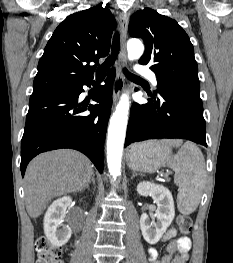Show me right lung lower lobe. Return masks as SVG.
<instances>
[{
    "label": "right lung lower lobe",
    "instance_id": "1",
    "mask_svg": "<svg viewBox=\"0 0 233 263\" xmlns=\"http://www.w3.org/2000/svg\"><path fill=\"white\" fill-rule=\"evenodd\" d=\"M115 70L109 72L105 85L97 89L94 101L78 103L83 84L32 95L21 140V173L24 176L30 160L41 152L72 148L84 153L103 172L105 134L112 106V82ZM90 111V114H82Z\"/></svg>",
    "mask_w": 233,
    "mask_h": 263
}]
</instances>
